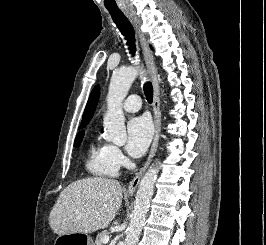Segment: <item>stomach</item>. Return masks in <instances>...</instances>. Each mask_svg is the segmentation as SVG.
<instances>
[{
  "label": "stomach",
  "instance_id": "1",
  "mask_svg": "<svg viewBox=\"0 0 266 245\" xmlns=\"http://www.w3.org/2000/svg\"><path fill=\"white\" fill-rule=\"evenodd\" d=\"M58 238L59 242H71V245H94L92 237L87 233H58Z\"/></svg>",
  "mask_w": 266,
  "mask_h": 245
}]
</instances>
